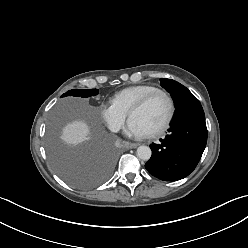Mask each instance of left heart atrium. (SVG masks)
Wrapping results in <instances>:
<instances>
[{
	"label": "left heart atrium",
	"mask_w": 248,
	"mask_h": 248,
	"mask_svg": "<svg viewBox=\"0 0 248 248\" xmlns=\"http://www.w3.org/2000/svg\"><path fill=\"white\" fill-rule=\"evenodd\" d=\"M126 133L129 136L141 138L147 135L146 131L134 120H129L126 127Z\"/></svg>",
	"instance_id": "obj_1"
}]
</instances>
